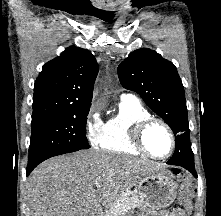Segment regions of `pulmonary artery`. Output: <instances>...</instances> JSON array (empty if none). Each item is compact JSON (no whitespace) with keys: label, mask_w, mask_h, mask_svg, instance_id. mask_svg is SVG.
Here are the masks:
<instances>
[{"label":"pulmonary artery","mask_w":221,"mask_h":216,"mask_svg":"<svg viewBox=\"0 0 221 216\" xmlns=\"http://www.w3.org/2000/svg\"><path fill=\"white\" fill-rule=\"evenodd\" d=\"M128 98H134V96L129 93H124L121 95V99H128Z\"/></svg>","instance_id":"pulmonary-artery-1"}]
</instances>
